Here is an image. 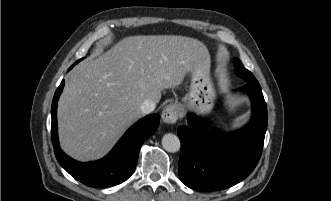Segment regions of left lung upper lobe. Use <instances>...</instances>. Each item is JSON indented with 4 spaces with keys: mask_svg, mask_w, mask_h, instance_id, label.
<instances>
[{
    "mask_svg": "<svg viewBox=\"0 0 331 201\" xmlns=\"http://www.w3.org/2000/svg\"><path fill=\"white\" fill-rule=\"evenodd\" d=\"M235 68L238 72V74L247 81H256V78L253 76V74L248 71L241 61L239 59H235Z\"/></svg>",
    "mask_w": 331,
    "mask_h": 201,
    "instance_id": "obj_1",
    "label": "left lung upper lobe"
}]
</instances>
